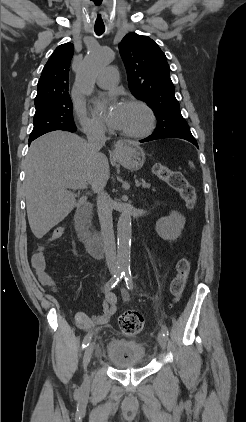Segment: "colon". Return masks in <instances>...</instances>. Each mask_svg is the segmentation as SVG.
<instances>
[{
    "mask_svg": "<svg viewBox=\"0 0 246 422\" xmlns=\"http://www.w3.org/2000/svg\"><path fill=\"white\" fill-rule=\"evenodd\" d=\"M153 172L158 178L166 181L171 188L178 192L188 208L194 207L197 200L196 190L181 172L171 170L160 163L154 165ZM62 232L63 229L61 227L54 229L49 240L53 241L58 239ZM33 265L38 271H43L45 261L41 252L34 255ZM190 269L191 262L187 257L180 259L177 263V274L171 283V293L175 301H179L183 295ZM119 327L126 335H136L140 333L144 327V318L137 311H125L119 318Z\"/></svg>",
    "mask_w": 246,
    "mask_h": 422,
    "instance_id": "obj_1",
    "label": "colon"
}]
</instances>
